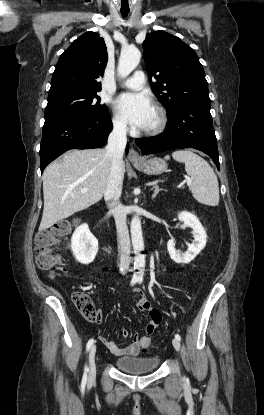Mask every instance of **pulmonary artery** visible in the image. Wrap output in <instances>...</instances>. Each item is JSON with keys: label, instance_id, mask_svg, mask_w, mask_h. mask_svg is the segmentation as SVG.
<instances>
[{"label": "pulmonary artery", "instance_id": "e3ab8cb5", "mask_svg": "<svg viewBox=\"0 0 264 415\" xmlns=\"http://www.w3.org/2000/svg\"><path fill=\"white\" fill-rule=\"evenodd\" d=\"M121 85L132 90L142 89L145 86L144 72L136 71L130 78L123 81Z\"/></svg>", "mask_w": 264, "mask_h": 415}]
</instances>
